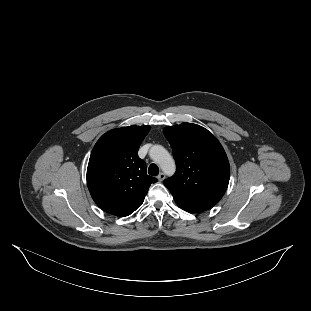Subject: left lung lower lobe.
<instances>
[{"label": "left lung lower lobe", "instance_id": "left-lung-lower-lobe-1", "mask_svg": "<svg viewBox=\"0 0 311 311\" xmlns=\"http://www.w3.org/2000/svg\"><path fill=\"white\" fill-rule=\"evenodd\" d=\"M174 200L179 207H181L182 209H184L185 211H188L190 213H199V212H203V211L209 209V208L202 207V206H196V205L188 204V203H185V202L180 201V200L175 199V198H174Z\"/></svg>", "mask_w": 311, "mask_h": 311}]
</instances>
